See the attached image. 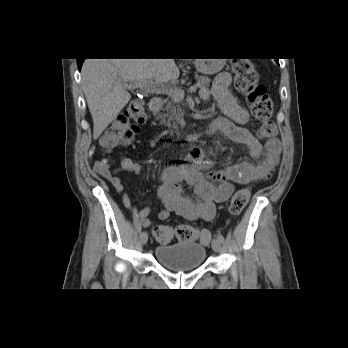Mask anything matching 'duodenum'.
<instances>
[{"label":"duodenum","instance_id":"410a0bca","mask_svg":"<svg viewBox=\"0 0 348 348\" xmlns=\"http://www.w3.org/2000/svg\"><path fill=\"white\" fill-rule=\"evenodd\" d=\"M163 106V100L158 97H154L149 101V108L152 112H159ZM201 136L197 132H193L187 136V140L190 142H195L200 140Z\"/></svg>","mask_w":348,"mask_h":348}]
</instances>
